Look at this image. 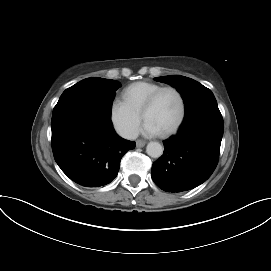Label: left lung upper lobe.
Segmentation results:
<instances>
[{"label": "left lung upper lobe", "instance_id": "left-lung-upper-lobe-1", "mask_svg": "<svg viewBox=\"0 0 271 271\" xmlns=\"http://www.w3.org/2000/svg\"><path fill=\"white\" fill-rule=\"evenodd\" d=\"M155 80L174 86L181 93L185 104V119L200 111L218 109L212 91L191 78L171 75L157 77Z\"/></svg>", "mask_w": 271, "mask_h": 271}]
</instances>
